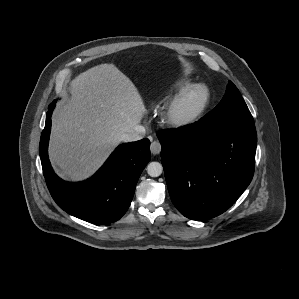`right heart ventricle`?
Wrapping results in <instances>:
<instances>
[{"instance_id": "e07e8e85", "label": "right heart ventricle", "mask_w": 299, "mask_h": 299, "mask_svg": "<svg viewBox=\"0 0 299 299\" xmlns=\"http://www.w3.org/2000/svg\"><path fill=\"white\" fill-rule=\"evenodd\" d=\"M192 85L191 79H180L177 82L174 83V85L171 87L169 92L164 97V100L169 99L171 97L177 96L180 92H182L184 89Z\"/></svg>"}]
</instances>
